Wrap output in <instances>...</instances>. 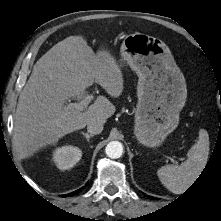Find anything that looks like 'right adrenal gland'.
<instances>
[{
	"mask_svg": "<svg viewBox=\"0 0 221 221\" xmlns=\"http://www.w3.org/2000/svg\"><path fill=\"white\" fill-rule=\"evenodd\" d=\"M81 134L86 138L87 142H89L90 138L94 136L92 134H88V133H84V132H81Z\"/></svg>",
	"mask_w": 221,
	"mask_h": 221,
	"instance_id": "right-adrenal-gland-1",
	"label": "right adrenal gland"
}]
</instances>
